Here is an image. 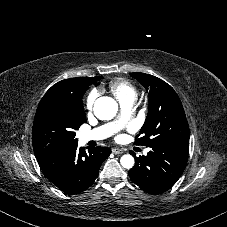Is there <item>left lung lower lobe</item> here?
Listing matches in <instances>:
<instances>
[{"label":"left lung lower lobe","instance_id":"obj_1","mask_svg":"<svg viewBox=\"0 0 227 227\" xmlns=\"http://www.w3.org/2000/svg\"><path fill=\"white\" fill-rule=\"evenodd\" d=\"M147 156L131 151L135 165L129 170L133 183L149 194H161L170 189L182 175L189 153V142L161 143L148 146Z\"/></svg>","mask_w":227,"mask_h":227}]
</instances>
